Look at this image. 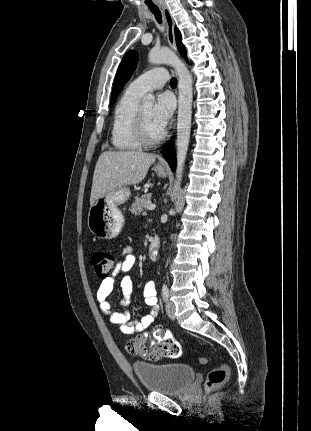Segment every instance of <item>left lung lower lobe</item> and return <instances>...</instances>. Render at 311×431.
<instances>
[{"label":"left lung lower lobe","mask_w":311,"mask_h":431,"mask_svg":"<svg viewBox=\"0 0 311 431\" xmlns=\"http://www.w3.org/2000/svg\"><path fill=\"white\" fill-rule=\"evenodd\" d=\"M163 156L166 159V161L169 163L171 169L174 171L176 167V157L175 152L173 148V143H169L166 145L163 151Z\"/></svg>","instance_id":"left-lung-lower-lobe-1"}]
</instances>
